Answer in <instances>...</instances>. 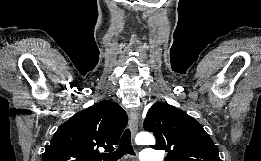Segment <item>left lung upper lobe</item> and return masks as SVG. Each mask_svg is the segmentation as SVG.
<instances>
[{
	"label": "left lung upper lobe",
	"mask_w": 261,
	"mask_h": 161,
	"mask_svg": "<svg viewBox=\"0 0 261 161\" xmlns=\"http://www.w3.org/2000/svg\"><path fill=\"white\" fill-rule=\"evenodd\" d=\"M144 129L156 137L157 143L152 148L168 153L164 161H221L218 147L202 125L172 105L153 104Z\"/></svg>",
	"instance_id": "5c2ea615"
}]
</instances>
